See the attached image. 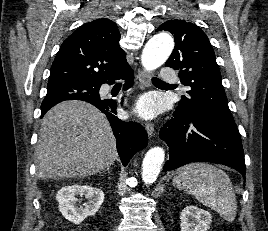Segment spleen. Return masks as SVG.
Wrapping results in <instances>:
<instances>
[{"label": "spleen", "instance_id": "1", "mask_svg": "<svg viewBox=\"0 0 268 231\" xmlns=\"http://www.w3.org/2000/svg\"><path fill=\"white\" fill-rule=\"evenodd\" d=\"M173 185L185 189L226 221L235 219L236 196L230 178L223 170L203 162L187 164L177 171Z\"/></svg>", "mask_w": 268, "mask_h": 231}]
</instances>
